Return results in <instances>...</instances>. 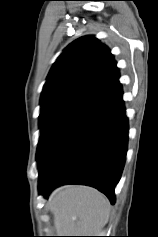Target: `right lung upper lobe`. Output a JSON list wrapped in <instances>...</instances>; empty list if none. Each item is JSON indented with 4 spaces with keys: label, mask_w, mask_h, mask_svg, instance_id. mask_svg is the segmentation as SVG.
<instances>
[{
    "label": "right lung upper lobe",
    "mask_w": 158,
    "mask_h": 237,
    "mask_svg": "<svg viewBox=\"0 0 158 237\" xmlns=\"http://www.w3.org/2000/svg\"><path fill=\"white\" fill-rule=\"evenodd\" d=\"M118 79L109 48L93 36H84L72 42L52 66L41 102L72 99L84 104Z\"/></svg>",
    "instance_id": "1"
}]
</instances>
